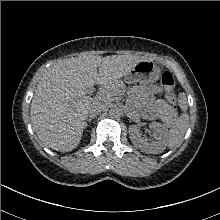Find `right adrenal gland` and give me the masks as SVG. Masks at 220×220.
I'll return each instance as SVG.
<instances>
[{
    "label": "right adrenal gland",
    "mask_w": 220,
    "mask_h": 220,
    "mask_svg": "<svg viewBox=\"0 0 220 220\" xmlns=\"http://www.w3.org/2000/svg\"><path fill=\"white\" fill-rule=\"evenodd\" d=\"M91 120H92V118L87 119V120L85 121V126H87V125H88V122H91Z\"/></svg>",
    "instance_id": "2a0ac1e0"
}]
</instances>
